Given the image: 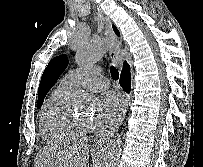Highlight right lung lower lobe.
Returning a JSON list of instances; mask_svg holds the SVG:
<instances>
[{
  "label": "right lung lower lobe",
  "instance_id": "obj_1",
  "mask_svg": "<svg viewBox=\"0 0 203 167\" xmlns=\"http://www.w3.org/2000/svg\"><path fill=\"white\" fill-rule=\"evenodd\" d=\"M120 85L127 93L130 92L131 85L130 67L126 62H124L123 64V70L120 77Z\"/></svg>",
  "mask_w": 203,
  "mask_h": 167
}]
</instances>
